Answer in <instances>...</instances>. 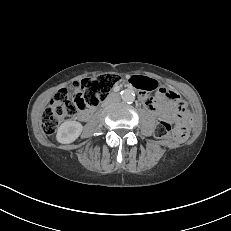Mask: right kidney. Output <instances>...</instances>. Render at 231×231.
Returning a JSON list of instances; mask_svg holds the SVG:
<instances>
[{
  "mask_svg": "<svg viewBox=\"0 0 231 231\" xmlns=\"http://www.w3.org/2000/svg\"><path fill=\"white\" fill-rule=\"evenodd\" d=\"M82 130L83 126L81 123L67 120L58 128L56 139L63 144L71 143L80 136Z\"/></svg>",
  "mask_w": 231,
  "mask_h": 231,
  "instance_id": "ca27d5eb",
  "label": "right kidney"
}]
</instances>
